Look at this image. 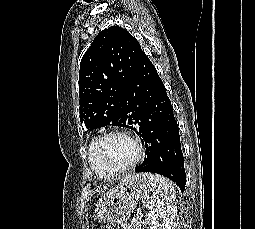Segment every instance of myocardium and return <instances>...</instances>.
<instances>
[{"label": "myocardium", "mask_w": 255, "mask_h": 229, "mask_svg": "<svg viewBox=\"0 0 255 229\" xmlns=\"http://www.w3.org/2000/svg\"><path fill=\"white\" fill-rule=\"evenodd\" d=\"M110 136H123V137L129 139L133 143V145L135 146L136 153H135L134 159L129 164H127L125 166H121V167H113V166L104 162V160L102 159V157L100 155L99 148H100L102 142ZM92 152H93L95 159L100 163V165L103 167L104 170H106L107 172H109L111 174H116L118 176L121 173L132 170L137 165V163L140 161L141 156H142V145L138 138H136L135 136H133L131 133H129L127 131L110 130V131L104 132L103 134L99 135L94 140V143L92 146Z\"/></svg>", "instance_id": "obj_1"}]
</instances>
